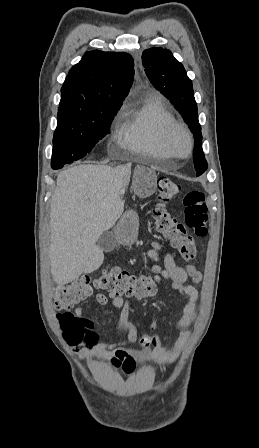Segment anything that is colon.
I'll use <instances>...</instances> for the list:
<instances>
[{
    "label": "colon",
    "instance_id": "colon-1",
    "mask_svg": "<svg viewBox=\"0 0 259 448\" xmlns=\"http://www.w3.org/2000/svg\"><path fill=\"white\" fill-rule=\"evenodd\" d=\"M157 206L154 210L155 228L164 235L177 250L182 260L189 261L196 256V247L190 230L194 236L203 238L208 232V210L205 195L201 191H190L183 198L185 223H179L166 210V204L178 195L181 186L168 176L158 179ZM157 267L151 274L140 276L111 269L96 276L84 275L79 279L53 290L54 306L58 320L62 326L66 341L76 346L88 336L92 322L72 311L75 304L88 298L95 289H104L117 296L134 299H145L155 295L158 286ZM155 341L154 336L145 335L139 340L142 347H150Z\"/></svg>",
    "mask_w": 259,
    "mask_h": 448
}]
</instances>
